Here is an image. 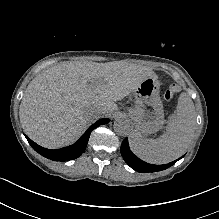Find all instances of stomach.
<instances>
[{
	"label": "stomach",
	"instance_id": "obj_1",
	"mask_svg": "<svg viewBox=\"0 0 219 219\" xmlns=\"http://www.w3.org/2000/svg\"><path fill=\"white\" fill-rule=\"evenodd\" d=\"M160 83L154 77H147L133 91L135 106L128 111L136 130L148 135L159 131L164 124V110L160 98Z\"/></svg>",
	"mask_w": 219,
	"mask_h": 219
}]
</instances>
